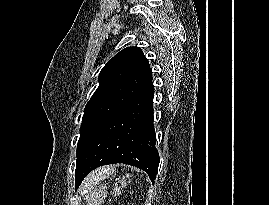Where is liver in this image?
<instances>
[{
	"label": "liver",
	"mask_w": 269,
	"mask_h": 205,
	"mask_svg": "<svg viewBox=\"0 0 269 205\" xmlns=\"http://www.w3.org/2000/svg\"><path fill=\"white\" fill-rule=\"evenodd\" d=\"M107 173H109V169L100 168L96 170L95 172H93L92 174H90L86 181L87 188H92L93 186H95V184L99 182L100 180H102L106 176Z\"/></svg>",
	"instance_id": "liver-1"
}]
</instances>
